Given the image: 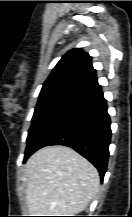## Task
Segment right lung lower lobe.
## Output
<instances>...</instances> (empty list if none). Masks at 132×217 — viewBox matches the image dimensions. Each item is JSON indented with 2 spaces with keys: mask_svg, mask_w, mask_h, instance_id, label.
Returning <instances> with one entry per match:
<instances>
[{
  "mask_svg": "<svg viewBox=\"0 0 132 217\" xmlns=\"http://www.w3.org/2000/svg\"><path fill=\"white\" fill-rule=\"evenodd\" d=\"M111 138L110 118L101 88L77 97L49 123L30 148L24 161L38 149L50 145L73 148L99 171L106 172Z\"/></svg>",
  "mask_w": 132,
  "mask_h": 217,
  "instance_id": "98d812e1",
  "label": "right lung lower lobe"
}]
</instances>
